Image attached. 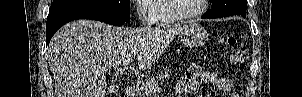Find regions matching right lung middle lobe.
Listing matches in <instances>:
<instances>
[{
    "instance_id": "1",
    "label": "right lung middle lobe",
    "mask_w": 302,
    "mask_h": 97,
    "mask_svg": "<svg viewBox=\"0 0 302 97\" xmlns=\"http://www.w3.org/2000/svg\"><path fill=\"white\" fill-rule=\"evenodd\" d=\"M79 8L103 9L130 23V0H54L49 15Z\"/></svg>"
}]
</instances>
